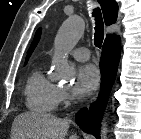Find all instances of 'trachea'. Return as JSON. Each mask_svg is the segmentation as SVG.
I'll list each match as a JSON object with an SVG mask.
<instances>
[{"instance_id":"trachea-1","label":"trachea","mask_w":141,"mask_h":139,"mask_svg":"<svg viewBox=\"0 0 141 139\" xmlns=\"http://www.w3.org/2000/svg\"><path fill=\"white\" fill-rule=\"evenodd\" d=\"M93 16L95 17V33H94V44L96 47L101 48V44L104 39V24L102 14L99 8L94 9Z\"/></svg>"}]
</instances>
